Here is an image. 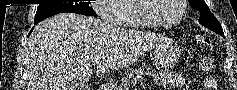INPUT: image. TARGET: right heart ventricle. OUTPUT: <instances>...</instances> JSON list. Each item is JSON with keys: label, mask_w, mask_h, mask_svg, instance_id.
Returning <instances> with one entry per match:
<instances>
[{"label": "right heart ventricle", "mask_w": 237, "mask_h": 90, "mask_svg": "<svg viewBox=\"0 0 237 90\" xmlns=\"http://www.w3.org/2000/svg\"><path fill=\"white\" fill-rule=\"evenodd\" d=\"M124 4H112L111 13H114V16H126V15H135L134 11L135 3L137 0H126ZM112 28H145L144 24L140 19H126L122 17V20L114 23Z\"/></svg>", "instance_id": "1"}]
</instances>
